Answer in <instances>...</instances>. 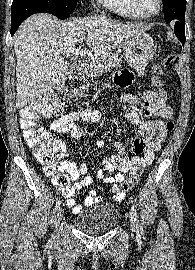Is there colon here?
I'll return each instance as SVG.
<instances>
[{
  "label": "colon",
  "instance_id": "1",
  "mask_svg": "<svg viewBox=\"0 0 195 270\" xmlns=\"http://www.w3.org/2000/svg\"><path fill=\"white\" fill-rule=\"evenodd\" d=\"M175 61L173 54L165 56L154 67L152 81L153 89L148 95V101L161 105L165 103L167 92L161 79L162 69L169 67ZM86 90V81L81 77H74L65 81L60 86L43 94L31 105L23 108L20 113V124L28 146L33 150L37 161L42 165L44 172L52 177L54 185L66 189L69 184V176L62 167V157L65 153V144L58 139H53L39 124L41 116H59L66 106L81 96ZM174 129V123L168 121L165 124V133ZM140 179V173L135 174L120 186V191H128L134 187Z\"/></svg>",
  "mask_w": 195,
  "mask_h": 270
}]
</instances>
